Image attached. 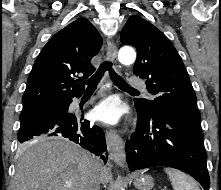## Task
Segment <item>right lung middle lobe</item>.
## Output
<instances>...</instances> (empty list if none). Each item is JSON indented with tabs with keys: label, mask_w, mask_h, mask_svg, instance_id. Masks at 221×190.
Returning <instances> with one entry per match:
<instances>
[{
	"label": "right lung middle lobe",
	"mask_w": 221,
	"mask_h": 190,
	"mask_svg": "<svg viewBox=\"0 0 221 190\" xmlns=\"http://www.w3.org/2000/svg\"><path fill=\"white\" fill-rule=\"evenodd\" d=\"M64 102L65 101L47 103V104H43L40 106H35V107L23 109L20 114L21 125H24L28 122H31L37 118H40V117L48 114L49 112H51V111L55 110L56 108H58L59 106H61V104H63Z\"/></svg>",
	"instance_id": "right-lung-middle-lobe-1"
}]
</instances>
